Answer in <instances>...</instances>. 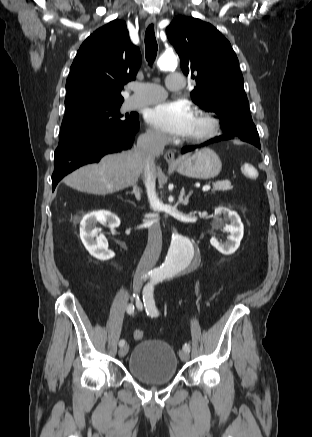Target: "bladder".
I'll list each match as a JSON object with an SVG mask.
<instances>
[{
	"label": "bladder",
	"instance_id": "obj_1",
	"mask_svg": "<svg viewBox=\"0 0 312 437\" xmlns=\"http://www.w3.org/2000/svg\"><path fill=\"white\" fill-rule=\"evenodd\" d=\"M178 361L174 349L163 340H144L132 350L128 372L146 384H167L177 375Z\"/></svg>",
	"mask_w": 312,
	"mask_h": 437
}]
</instances>
